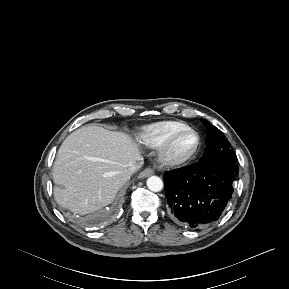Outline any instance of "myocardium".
Here are the masks:
<instances>
[{"label": "myocardium", "instance_id": "obj_1", "mask_svg": "<svg viewBox=\"0 0 289 289\" xmlns=\"http://www.w3.org/2000/svg\"><path fill=\"white\" fill-rule=\"evenodd\" d=\"M186 134H193L196 137V145L193 148L192 151L185 155H176L173 153V148L175 143L179 138ZM201 146V137L199 133L192 129L187 128L181 131L176 132L173 134L164 144L160 146V149L158 151V161L159 163L164 167H177L183 164H186L187 162L191 161L196 154L198 153Z\"/></svg>", "mask_w": 289, "mask_h": 289}]
</instances>
